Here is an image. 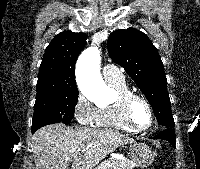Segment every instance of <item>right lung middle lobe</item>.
I'll return each instance as SVG.
<instances>
[{
	"label": "right lung middle lobe",
	"instance_id": "obj_1",
	"mask_svg": "<svg viewBox=\"0 0 200 169\" xmlns=\"http://www.w3.org/2000/svg\"><path fill=\"white\" fill-rule=\"evenodd\" d=\"M78 100V90L37 93L34 105L32 130L62 122L68 124Z\"/></svg>",
	"mask_w": 200,
	"mask_h": 169
}]
</instances>
